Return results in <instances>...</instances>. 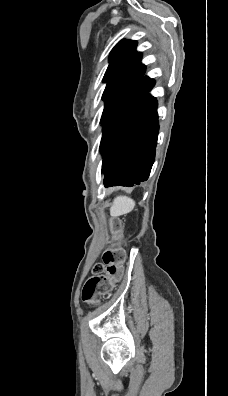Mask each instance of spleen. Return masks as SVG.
<instances>
[{
	"label": "spleen",
	"mask_w": 228,
	"mask_h": 396,
	"mask_svg": "<svg viewBox=\"0 0 228 396\" xmlns=\"http://www.w3.org/2000/svg\"><path fill=\"white\" fill-rule=\"evenodd\" d=\"M135 206V201L127 196H118L110 208L112 216H119L130 212Z\"/></svg>",
	"instance_id": "3e777b00"
}]
</instances>
